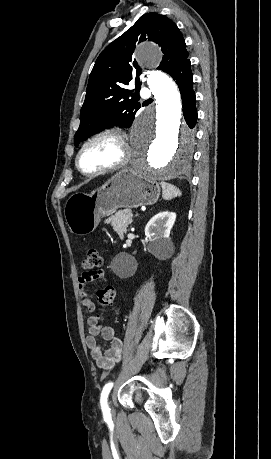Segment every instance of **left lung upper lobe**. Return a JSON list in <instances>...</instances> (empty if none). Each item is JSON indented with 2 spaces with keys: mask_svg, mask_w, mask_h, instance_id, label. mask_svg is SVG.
<instances>
[{
  "mask_svg": "<svg viewBox=\"0 0 271 459\" xmlns=\"http://www.w3.org/2000/svg\"><path fill=\"white\" fill-rule=\"evenodd\" d=\"M157 43L163 52L158 69L171 74L177 66L188 58L182 33L166 16L146 13L123 35L110 43L96 60L89 77L84 104L80 111V126L74 135V144L86 140L106 127L132 125L140 104L135 98L141 83L136 77V88H127L132 75L140 68L133 59L136 43L142 41Z\"/></svg>",
  "mask_w": 271,
  "mask_h": 459,
  "instance_id": "obj_1",
  "label": "left lung upper lobe"
}]
</instances>
